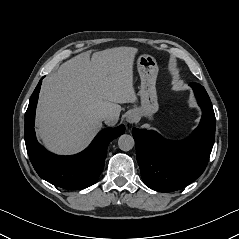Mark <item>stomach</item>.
<instances>
[{
	"instance_id": "stomach-1",
	"label": "stomach",
	"mask_w": 239,
	"mask_h": 239,
	"mask_svg": "<svg viewBox=\"0 0 239 239\" xmlns=\"http://www.w3.org/2000/svg\"><path fill=\"white\" fill-rule=\"evenodd\" d=\"M137 68L141 79L140 99L141 106L133 109L138 117H147L153 119V115L158 111V97L156 91V79L158 74V65L154 57L148 54L139 56Z\"/></svg>"
}]
</instances>
